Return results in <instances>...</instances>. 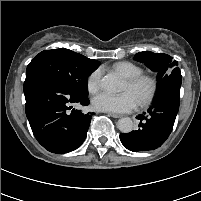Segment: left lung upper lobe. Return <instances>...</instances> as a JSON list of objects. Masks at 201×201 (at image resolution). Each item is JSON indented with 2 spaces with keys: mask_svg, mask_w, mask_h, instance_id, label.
<instances>
[{
  "mask_svg": "<svg viewBox=\"0 0 201 201\" xmlns=\"http://www.w3.org/2000/svg\"><path fill=\"white\" fill-rule=\"evenodd\" d=\"M136 61L144 63L151 70L158 73L157 96L162 95L170 89L180 91L182 76L178 62L171 56L163 53L150 51L139 52L134 56Z\"/></svg>",
  "mask_w": 201,
  "mask_h": 201,
  "instance_id": "5c2ea615",
  "label": "left lung upper lobe"
}]
</instances>
